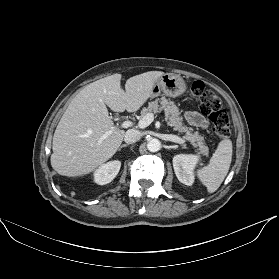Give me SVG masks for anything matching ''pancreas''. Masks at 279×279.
<instances>
[{"mask_svg": "<svg viewBox=\"0 0 279 279\" xmlns=\"http://www.w3.org/2000/svg\"><path fill=\"white\" fill-rule=\"evenodd\" d=\"M161 111H164L165 119L168 125L173 127L174 130H177L178 132L185 133L186 138L196 142L202 154H208V147L205 145L204 137L200 135L198 132H192V128H188L185 125H183V118L180 115L181 113L179 111V108L173 101L167 100L164 97L160 100L156 99L155 101L150 102L147 108L142 109L141 117H144L149 113L155 114Z\"/></svg>", "mask_w": 279, "mask_h": 279, "instance_id": "cf45deb5", "label": "pancreas"}]
</instances>
